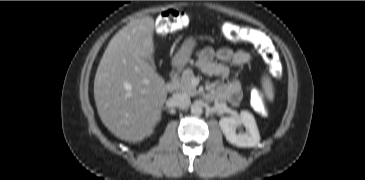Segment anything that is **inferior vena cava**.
<instances>
[{
  "instance_id": "1",
  "label": "inferior vena cava",
  "mask_w": 365,
  "mask_h": 180,
  "mask_svg": "<svg viewBox=\"0 0 365 180\" xmlns=\"http://www.w3.org/2000/svg\"><path fill=\"white\" fill-rule=\"evenodd\" d=\"M171 101L179 109H186L191 103L190 97L184 93L173 94Z\"/></svg>"
}]
</instances>
